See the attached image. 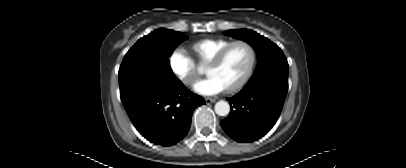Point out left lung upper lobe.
Returning <instances> with one entry per match:
<instances>
[{
    "instance_id": "1",
    "label": "left lung upper lobe",
    "mask_w": 406,
    "mask_h": 168,
    "mask_svg": "<svg viewBox=\"0 0 406 168\" xmlns=\"http://www.w3.org/2000/svg\"><path fill=\"white\" fill-rule=\"evenodd\" d=\"M227 34L246 41L258 54V64L249 82L261 80L288 82L289 65L282 50L276 44L252 30H230Z\"/></svg>"
}]
</instances>
